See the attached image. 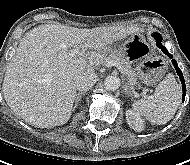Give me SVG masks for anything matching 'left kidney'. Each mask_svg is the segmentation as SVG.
<instances>
[{"label":"left kidney","instance_id":"left-kidney-1","mask_svg":"<svg viewBox=\"0 0 190 165\" xmlns=\"http://www.w3.org/2000/svg\"><path fill=\"white\" fill-rule=\"evenodd\" d=\"M126 120L128 125L135 131H143L144 130V120L140 117L138 113L133 110L126 111Z\"/></svg>","mask_w":190,"mask_h":165}]
</instances>
